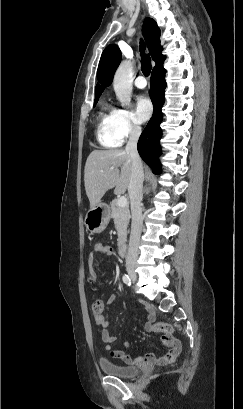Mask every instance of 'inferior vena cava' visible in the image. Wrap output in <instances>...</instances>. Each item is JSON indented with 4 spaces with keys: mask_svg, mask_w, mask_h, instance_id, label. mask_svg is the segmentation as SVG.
<instances>
[{
    "mask_svg": "<svg viewBox=\"0 0 243 409\" xmlns=\"http://www.w3.org/2000/svg\"><path fill=\"white\" fill-rule=\"evenodd\" d=\"M141 135V128L137 125L130 127L129 141L126 151L129 153L132 162L131 177L128 185V193L131 201V234L129 240L126 264H134L138 258V246L143 227L142 198L144 171L141 158L137 151V142Z\"/></svg>",
    "mask_w": 243,
    "mask_h": 409,
    "instance_id": "1",
    "label": "inferior vena cava"
}]
</instances>
